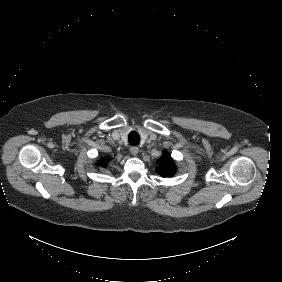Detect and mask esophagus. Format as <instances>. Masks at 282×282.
Returning a JSON list of instances; mask_svg holds the SVG:
<instances>
[{
	"label": "esophagus",
	"instance_id": "esophagus-1",
	"mask_svg": "<svg viewBox=\"0 0 282 282\" xmlns=\"http://www.w3.org/2000/svg\"><path fill=\"white\" fill-rule=\"evenodd\" d=\"M139 152V148L138 147H131L130 148V153L133 155V156H136Z\"/></svg>",
	"mask_w": 282,
	"mask_h": 282
}]
</instances>
